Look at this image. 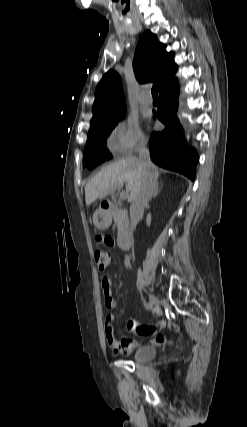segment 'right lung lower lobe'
Here are the masks:
<instances>
[{
  "instance_id": "1",
  "label": "right lung lower lobe",
  "mask_w": 247,
  "mask_h": 427,
  "mask_svg": "<svg viewBox=\"0 0 247 427\" xmlns=\"http://www.w3.org/2000/svg\"><path fill=\"white\" fill-rule=\"evenodd\" d=\"M178 93V83L175 78L159 92L160 106L157 117L165 125V129L157 132L150 139V156L158 166L178 171L194 180L199 157L194 149L186 147L182 138L181 126L175 114L178 107Z\"/></svg>"
}]
</instances>
